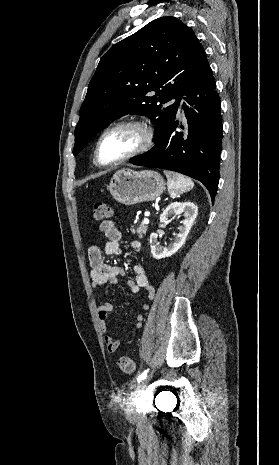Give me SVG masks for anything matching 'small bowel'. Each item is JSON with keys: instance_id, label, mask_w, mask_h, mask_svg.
<instances>
[{"instance_id": "small-bowel-1", "label": "small bowel", "mask_w": 279, "mask_h": 465, "mask_svg": "<svg viewBox=\"0 0 279 465\" xmlns=\"http://www.w3.org/2000/svg\"><path fill=\"white\" fill-rule=\"evenodd\" d=\"M100 232L105 236L106 243L104 246V253L108 256L120 255L121 250V234L115 227L111 220L102 221L99 225ZM131 250L139 254L142 249V244L138 240L130 243ZM88 258L90 265V277L93 288H100L104 286L114 285L118 281V277L124 275V268L119 265H110L104 262L103 252L97 245H90L88 247ZM134 273V280L128 282V287L132 293H139L141 289L148 291L149 300L153 298V288L149 283L148 276L144 266L136 263L132 267ZM150 303H144V309H148ZM113 310V304L105 301L97 308V315L101 331L104 334V342L109 353H115L119 346L120 341L108 334L107 320L109 314ZM143 325V315L139 314L136 317V329H140ZM128 343H131L129 340Z\"/></svg>"}]
</instances>
